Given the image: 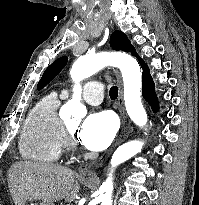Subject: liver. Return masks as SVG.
Here are the masks:
<instances>
[{
    "mask_svg": "<svg viewBox=\"0 0 199 205\" xmlns=\"http://www.w3.org/2000/svg\"><path fill=\"white\" fill-rule=\"evenodd\" d=\"M75 175L73 170L57 164L20 161L11 165L8 184L15 205H25L27 200L72 202L80 189Z\"/></svg>",
    "mask_w": 199,
    "mask_h": 205,
    "instance_id": "1",
    "label": "liver"
}]
</instances>
